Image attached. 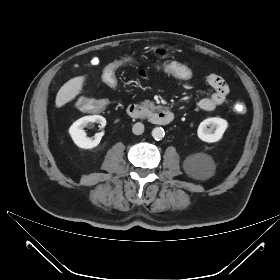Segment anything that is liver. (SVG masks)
I'll return each instance as SVG.
<instances>
[{
	"instance_id": "obj_1",
	"label": "liver",
	"mask_w": 280,
	"mask_h": 280,
	"mask_svg": "<svg viewBox=\"0 0 280 280\" xmlns=\"http://www.w3.org/2000/svg\"><path fill=\"white\" fill-rule=\"evenodd\" d=\"M85 76H78L66 82L58 91L55 104L60 108L66 103L72 101L82 91L85 82Z\"/></svg>"
}]
</instances>
